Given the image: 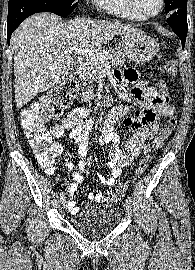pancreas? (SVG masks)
<instances>
[{
	"label": "pancreas",
	"mask_w": 195,
	"mask_h": 270,
	"mask_svg": "<svg viewBox=\"0 0 195 270\" xmlns=\"http://www.w3.org/2000/svg\"><path fill=\"white\" fill-rule=\"evenodd\" d=\"M105 52L112 55L111 63L114 67H123L125 65V57L124 54L115 49H107ZM105 62L88 60L81 67V77L83 80L92 83L97 80L101 70L103 69V65Z\"/></svg>",
	"instance_id": "pancreas-1"
}]
</instances>
